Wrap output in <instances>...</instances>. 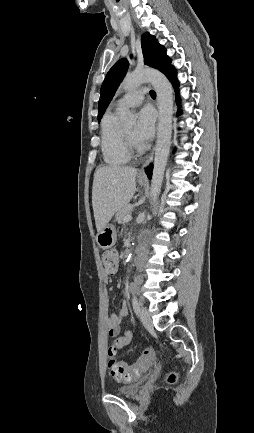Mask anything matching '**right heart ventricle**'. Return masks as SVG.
I'll return each mask as SVG.
<instances>
[{
    "label": "right heart ventricle",
    "mask_w": 254,
    "mask_h": 433,
    "mask_svg": "<svg viewBox=\"0 0 254 433\" xmlns=\"http://www.w3.org/2000/svg\"><path fill=\"white\" fill-rule=\"evenodd\" d=\"M101 152L103 160L110 166H120L129 162L131 155L127 151L122 128L117 124V112H108L101 122Z\"/></svg>",
    "instance_id": "e07e8e85"
}]
</instances>
